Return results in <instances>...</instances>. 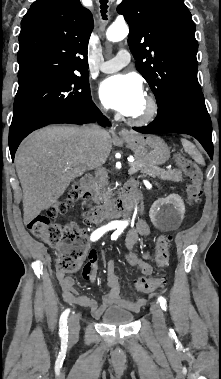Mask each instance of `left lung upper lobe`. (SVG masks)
<instances>
[{"instance_id": "5c2ea615", "label": "left lung upper lobe", "mask_w": 221, "mask_h": 379, "mask_svg": "<svg viewBox=\"0 0 221 379\" xmlns=\"http://www.w3.org/2000/svg\"><path fill=\"white\" fill-rule=\"evenodd\" d=\"M117 10L129 24L136 68L158 106L167 100L205 106L197 79L195 24L184 1L123 0Z\"/></svg>"}]
</instances>
